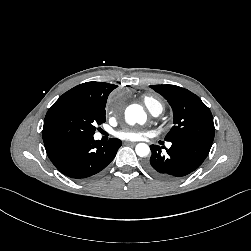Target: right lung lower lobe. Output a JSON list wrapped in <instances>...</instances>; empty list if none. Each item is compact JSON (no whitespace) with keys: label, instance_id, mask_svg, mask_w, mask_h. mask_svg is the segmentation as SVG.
<instances>
[{"label":"right lung lower lobe","instance_id":"right-lung-lower-lobe-1","mask_svg":"<svg viewBox=\"0 0 251 251\" xmlns=\"http://www.w3.org/2000/svg\"><path fill=\"white\" fill-rule=\"evenodd\" d=\"M48 157L64 175L85 179L103 170L116 156L119 139L95 141L93 136L53 139L44 142Z\"/></svg>","mask_w":251,"mask_h":251}]
</instances>
